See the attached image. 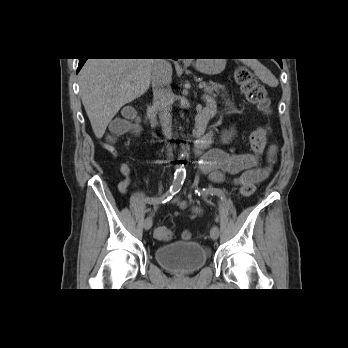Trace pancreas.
Wrapping results in <instances>:
<instances>
[{"mask_svg": "<svg viewBox=\"0 0 348 348\" xmlns=\"http://www.w3.org/2000/svg\"><path fill=\"white\" fill-rule=\"evenodd\" d=\"M205 92L215 95V93H219V87L215 83H209L208 86L205 88Z\"/></svg>", "mask_w": 348, "mask_h": 348, "instance_id": "pancreas-1", "label": "pancreas"}]
</instances>
